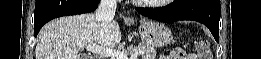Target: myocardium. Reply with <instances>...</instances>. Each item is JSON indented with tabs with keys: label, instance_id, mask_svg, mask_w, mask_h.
<instances>
[{
	"label": "myocardium",
	"instance_id": "1",
	"mask_svg": "<svg viewBox=\"0 0 261 59\" xmlns=\"http://www.w3.org/2000/svg\"><path fill=\"white\" fill-rule=\"evenodd\" d=\"M164 2H166V1H161L159 3H164ZM144 6H155V5L144 4Z\"/></svg>",
	"mask_w": 261,
	"mask_h": 59
}]
</instances>
